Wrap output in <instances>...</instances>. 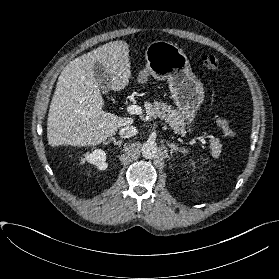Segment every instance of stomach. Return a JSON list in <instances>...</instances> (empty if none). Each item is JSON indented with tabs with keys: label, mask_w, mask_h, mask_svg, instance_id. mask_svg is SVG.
<instances>
[{
	"label": "stomach",
	"mask_w": 279,
	"mask_h": 279,
	"mask_svg": "<svg viewBox=\"0 0 279 279\" xmlns=\"http://www.w3.org/2000/svg\"><path fill=\"white\" fill-rule=\"evenodd\" d=\"M145 69L139 73V81L152 75L158 80H167L171 98L181 112L184 125H191L204 101V88L192 72L185 53L166 41H155L145 51Z\"/></svg>",
	"instance_id": "stomach-1"
}]
</instances>
